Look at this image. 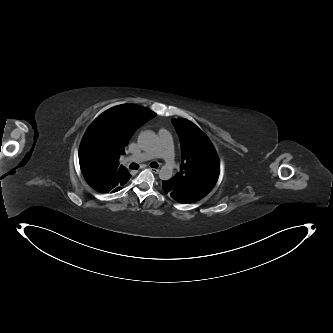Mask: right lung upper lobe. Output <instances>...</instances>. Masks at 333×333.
<instances>
[{
    "instance_id": "right-lung-upper-lobe-1",
    "label": "right lung upper lobe",
    "mask_w": 333,
    "mask_h": 333,
    "mask_svg": "<svg viewBox=\"0 0 333 333\" xmlns=\"http://www.w3.org/2000/svg\"><path fill=\"white\" fill-rule=\"evenodd\" d=\"M156 113L134 104L112 107L98 116L88 131L95 132L98 147L92 163V173L101 186L110 189L124 183L131 175L120 165L119 156L125 154V147L134 132Z\"/></svg>"
}]
</instances>
